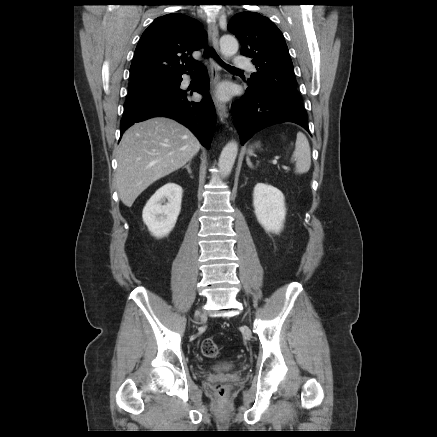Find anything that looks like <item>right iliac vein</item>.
<instances>
[{
    "instance_id": "1",
    "label": "right iliac vein",
    "mask_w": 437,
    "mask_h": 437,
    "mask_svg": "<svg viewBox=\"0 0 437 437\" xmlns=\"http://www.w3.org/2000/svg\"><path fill=\"white\" fill-rule=\"evenodd\" d=\"M202 316H203L202 312H201L200 310H198V311L196 312V318H200V317H202Z\"/></svg>"
}]
</instances>
